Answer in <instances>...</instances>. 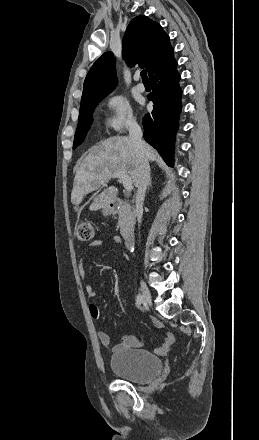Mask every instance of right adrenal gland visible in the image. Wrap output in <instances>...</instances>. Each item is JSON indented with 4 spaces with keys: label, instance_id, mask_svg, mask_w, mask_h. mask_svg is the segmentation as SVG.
Here are the masks:
<instances>
[{
    "label": "right adrenal gland",
    "instance_id": "obj_1",
    "mask_svg": "<svg viewBox=\"0 0 259 440\" xmlns=\"http://www.w3.org/2000/svg\"><path fill=\"white\" fill-rule=\"evenodd\" d=\"M151 185H152V178L149 179L148 189H150Z\"/></svg>",
    "mask_w": 259,
    "mask_h": 440
}]
</instances>
